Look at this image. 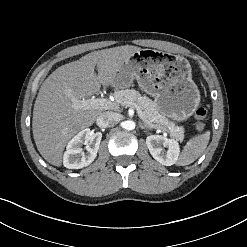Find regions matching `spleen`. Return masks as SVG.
<instances>
[{
	"mask_svg": "<svg viewBox=\"0 0 247 247\" xmlns=\"http://www.w3.org/2000/svg\"><path fill=\"white\" fill-rule=\"evenodd\" d=\"M209 139V131L191 138L184 146L177 164L179 166H186L193 163L205 151Z\"/></svg>",
	"mask_w": 247,
	"mask_h": 247,
	"instance_id": "3e777b00",
	"label": "spleen"
}]
</instances>
